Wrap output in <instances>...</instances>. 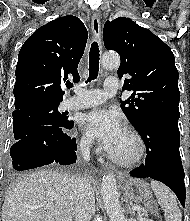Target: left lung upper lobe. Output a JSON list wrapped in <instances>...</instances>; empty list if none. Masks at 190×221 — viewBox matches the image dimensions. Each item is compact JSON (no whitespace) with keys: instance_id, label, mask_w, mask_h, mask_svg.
Masks as SVG:
<instances>
[{"instance_id":"left-lung-upper-lobe-1","label":"left lung upper lobe","mask_w":190,"mask_h":221,"mask_svg":"<svg viewBox=\"0 0 190 221\" xmlns=\"http://www.w3.org/2000/svg\"><path fill=\"white\" fill-rule=\"evenodd\" d=\"M104 45L119 53L121 64L117 71L125 79L123 91H133L121 102V108L132 125L155 115L179 118V74L173 52L150 30L126 17H119L104 25Z\"/></svg>"}]
</instances>
